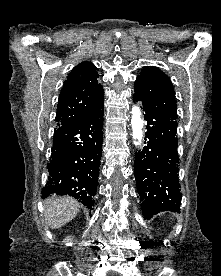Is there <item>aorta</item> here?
<instances>
[{
  "mask_svg": "<svg viewBox=\"0 0 221 276\" xmlns=\"http://www.w3.org/2000/svg\"><path fill=\"white\" fill-rule=\"evenodd\" d=\"M132 118H131V126L133 132V139L135 140L136 145H141L143 139V120L141 119V112L139 107H132Z\"/></svg>",
  "mask_w": 221,
  "mask_h": 276,
  "instance_id": "762f6f07",
  "label": "aorta"
}]
</instances>
